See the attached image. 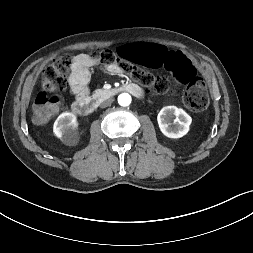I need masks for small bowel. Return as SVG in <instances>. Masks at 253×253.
Segmentation results:
<instances>
[{"label": "small bowel", "mask_w": 253, "mask_h": 253, "mask_svg": "<svg viewBox=\"0 0 253 253\" xmlns=\"http://www.w3.org/2000/svg\"><path fill=\"white\" fill-rule=\"evenodd\" d=\"M96 64V61L92 60L85 54H79L73 58L68 83L71 93L75 95L77 99L87 96L89 92L88 83L91 77L90 69ZM107 71L113 75H119L121 73V70L117 65L107 66Z\"/></svg>", "instance_id": "c3829d8e"}]
</instances>
